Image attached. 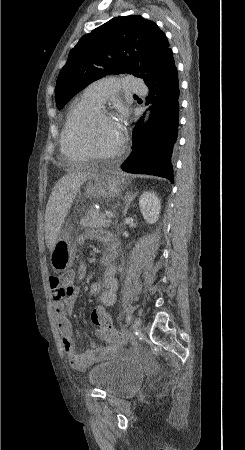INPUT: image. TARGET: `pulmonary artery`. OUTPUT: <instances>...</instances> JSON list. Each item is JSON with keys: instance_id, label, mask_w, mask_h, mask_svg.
<instances>
[{"instance_id": "1", "label": "pulmonary artery", "mask_w": 245, "mask_h": 450, "mask_svg": "<svg viewBox=\"0 0 245 450\" xmlns=\"http://www.w3.org/2000/svg\"><path fill=\"white\" fill-rule=\"evenodd\" d=\"M121 87L125 93H140L145 88V83L134 76H108L89 84L83 93L101 107L108 98L118 95Z\"/></svg>"}]
</instances>
